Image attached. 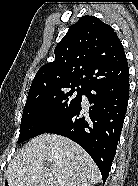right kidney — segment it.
<instances>
[{
    "label": "right kidney",
    "mask_w": 138,
    "mask_h": 186,
    "mask_svg": "<svg viewBox=\"0 0 138 186\" xmlns=\"http://www.w3.org/2000/svg\"><path fill=\"white\" fill-rule=\"evenodd\" d=\"M78 186H91V185H89V184H87V183H83V184H80V185H78Z\"/></svg>",
    "instance_id": "1"
}]
</instances>
